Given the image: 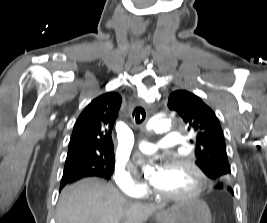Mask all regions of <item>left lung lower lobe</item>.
Here are the masks:
<instances>
[{
	"label": "left lung lower lobe",
	"mask_w": 267,
	"mask_h": 223,
	"mask_svg": "<svg viewBox=\"0 0 267 223\" xmlns=\"http://www.w3.org/2000/svg\"><path fill=\"white\" fill-rule=\"evenodd\" d=\"M214 188L218 190V195H231L233 193L230 182H215Z\"/></svg>",
	"instance_id": "left-lung-lower-lobe-1"
}]
</instances>
